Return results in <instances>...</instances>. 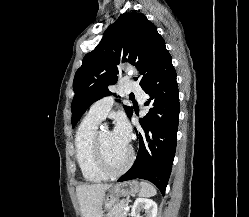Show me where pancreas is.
Returning a JSON list of instances; mask_svg holds the SVG:
<instances>
[{"instance_id":"cf45deb5","label":"pancreas","mask_w":249,"mask_h":217,"mask_svg":"<svg viewBox=\"0 0 249 217\" xmlns=\"http://www.w3.org/2000/svg\"><path fill=\"white\" fill-rule=\"evenodd\" d=\"M126 205L127 201L121 200L109 210L106 217H126L127 212L124 210Z\"/></svg>"}]
</instances>
